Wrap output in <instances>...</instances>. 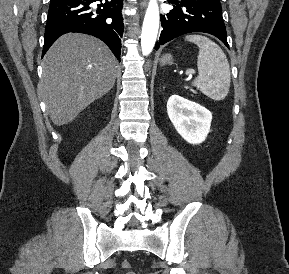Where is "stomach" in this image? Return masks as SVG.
I'll return each mask as SVG.
<instances>
[{
  "instance_id": "1",
  "label": "stomach",
  "mask_w": 289,
  "mask_h": 274,
  "mask_svg": "<svg viewBox=\"0 0 289 274\" xmlns=\"http://www.w3.org/2000/svg\"><path fill=\"white\" fill-rule=\"evenodd\" d=\"M172 56L170 54L163 55L162 58L160 59L161 64L166 65V64H172Z\"/></svg>"
}]
</instances>
